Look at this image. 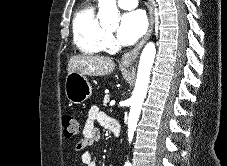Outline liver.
<instances>
[{
	"label": "liver",
	"mask_w": 227,
	"mask_h": 166,
	"mask_svg": "<svg viewBox=\"0 0 227 166\" xmlns=\"http://www.w3.org/2000/svg\"><path fill=\"white\" fill-rule=\"evenodd\" d=\"M115 67L114 61L109 57L98 55H76L69 59L67 71H76L82 75L105 76Z\"/></svg>",
	"instance_id": "6515ba94"
}]
</instances>
